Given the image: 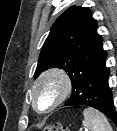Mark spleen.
Returning a JSON list of instances; mask_svg holds the SVG:
<instances>
[{
	"label": "spleen",
	"instance_id": "3e777b00",
	"mask_svg": "<svg viewBox=\"0 0 117 131\" xmlns=\"http://www.w3.org/2000/svg\"><path fill=\"white\" fill-rule=\"evenodd\" d=\"M84 120L82 125L89 131H112V127L107 118L93 108L83 111Z\"/></svg>",
	"mask_w": 117,
	"mask_h": 131
}]
</instances>
